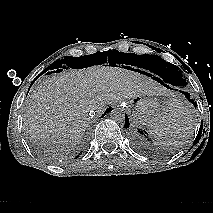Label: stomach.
Instances as JSON below:
<instances>
[{"label": "stomach", "mask_w": 213, "mask_h": 213, "mask_svg": "<svg viewBox=\"0 0 213 213\" xmlns=\"http://www.w3.org/2000/svg\"><path fill=\"white\" fill-rule=\"evenodd\" d=\"M131 117L136 126L150 128L156 123V117L165 109L158 96L135 97L129 102Z\"/></svg>", "instance_id": "stomach-1"}]
</instances>
